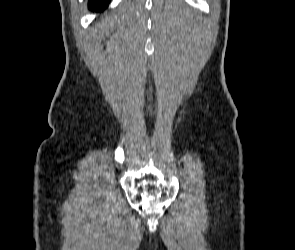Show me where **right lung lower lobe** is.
Instances as JSON below:
<instances>
[{"label":"right lung lower lobe","mask_w":295,"mask_h":250,"mask_svg":"<svg viewBox=\"0 0 295 250\" xmlns=\"http://www.w3.org/2000/svg\"><path fill=\"white\" fill-rule=\"evenodd\" d=\"M110 0H90L89 1V9L92 11L100 12L104 10Z\"/></svg>","instance_id":"obj_1"}]
</instances>
